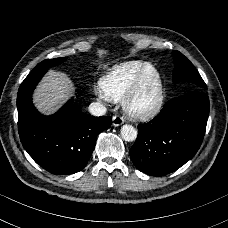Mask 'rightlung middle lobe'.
<instances>
[{
    "label": "right lung middle lobe",
    "instance_id": "obj_1",
    "mask_svg": "<svg viewBox=\"0 0 228 228\" xmlns=\"http://www.w3.org/2000/svg\"><path fill=\"white\" fill-rule=\"evenodd\" d=\"M65 59L64 58H55V59H47L40 62L32 71L49 69L53 66L61 64Z\"/></svg>",
    "mask_w": 228,
    "mask_h": 228
}]
</instances>
